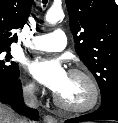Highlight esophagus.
<instances>
[{"label": "esophagus", "instance_id": "esophagus-1", "mask_svg": "<svg viewBox=\"0 0 118 123\" xmlns=\"http://www.w3.org/2000/svg\"><path fill=\"white\" fill-rule=\"evenodd\" d=\"M44 121L46 123H57V120L51 115H45L44 116Z\"/></svg>", "mask_w": 118, "mask_h": 123}]
</instances>
